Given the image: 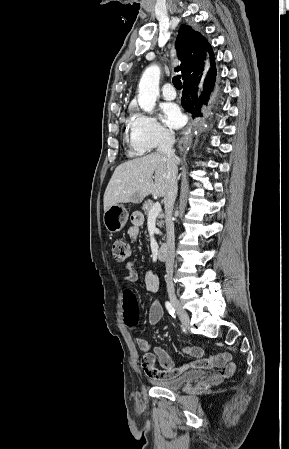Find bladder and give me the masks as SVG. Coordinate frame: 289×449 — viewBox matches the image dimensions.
I'll return each instance as SVG.
<instances>
[{
    "label": "bladder",
    "mask_w": 289,
    "mask_h": 449,
    "mask_svg": "<svg viewBox=\"0 0 289 449\" xmlns=\"http://www.w3.org/2000/svg\"><path fill=\"white\" fill-rule=\"evenodd\" d=\"M206 372L203 370H195L187 372L181 376L170 378V379H152V383L163 389L178 391L184 387L198 382L205 378Z\"/></svg>",
    "instance_id": "1"
}]
</instances>
